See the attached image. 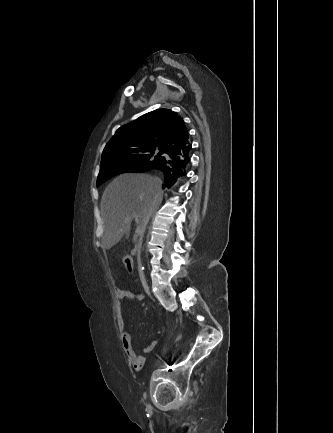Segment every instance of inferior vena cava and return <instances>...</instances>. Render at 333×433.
Returning a JSON list of instances; mask_svg holds the SVG:
<instances>
[{
	"instance_id": "inferior-vena-cava-1",
	"label": "inferior vena cava",
	"mask_w": 333,
	"mask_h": 433,
	"mask_svg": "<svg viewBox=\"0 0 333 433\" xmlns=\"http://www.w3.org/2000/svg\"><path fill=\"white\" fill-rule=\"evenodd\" d=\"M160 188H161V180L158 179V189L160 190ZM150 216H151V214H147L146 217L143 220L142 235H141L140 238L143 237V234H144L146 226H147V224L149 222Z\"/></svg>"
}]
</instances>
